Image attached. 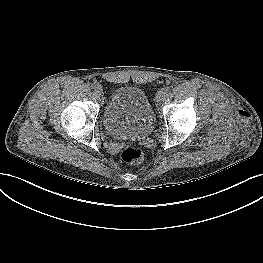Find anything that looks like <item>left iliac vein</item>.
Listing matches in <instances>:
<instances>
[{
    "instance_id": "1",
    "label": "left iliac vein",
    "mask_w": 263,
    "mask_h": 263,
    "mask_svg": "<svg viewBox=\"0 0 263 263\" xmlns=\"http://www.w3.org/2000/svg\"><path fill=\"white\" fill-rule=\"evenodd\" d=\"M163 97H164V96H161V92H160L158 95H156V96L154 97V100H155L156 102H159Z\"/></svg>"
}]
</instances>
